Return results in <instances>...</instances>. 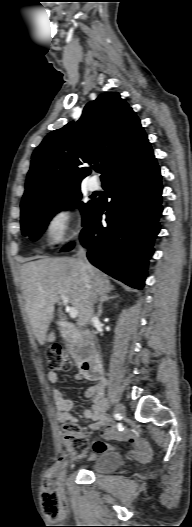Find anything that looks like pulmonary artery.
<instances>
[{"instance_id":"e3ab8cb5","label":"pulmonary artery","mask_w":192,"mask_h":527,"mask_svg":"<svg viewBox=\"0 0 192 527\" xmlns=\"http://www.w3.org/2000/svg\"><path fill=\"white\" fill-rule=\"evenodd\" d=\"M98 187H99L98 182L95 179H90L87 182V188L89 191H96Z\"/></svg>"}]
</instances>
